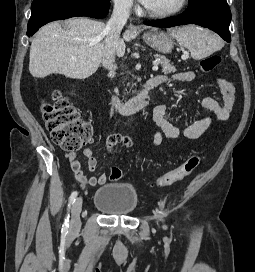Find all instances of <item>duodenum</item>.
<instances>
[{
  "label": "duodenum",
  "instance_id": "1",
  "mask_svg": "<svg viewBox=\"0 0 255 272\" xmlns=\"http://www.w3.org/2000/svg\"><path fill=\"white\" fill-rule=\"evenodd\" d=\"M160 84L159 80L152 77L146 81L140 93L123 101L115 96H109L111 105L115 106L123 114H132L144 108L150 100V93Z\"/></svg>",
  "mask_w": 255,
  "mask_h": 272
}]
</instances>
